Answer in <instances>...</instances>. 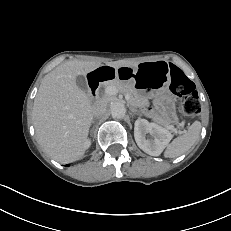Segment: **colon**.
<instances>
[{"label":"colon","instance_id":"obj_1","mask_svg":"<svg viewBox=\"0 0 231 231\" xmlns=\"http://www.w3.org/2000/svg\"><path fill=\"white\" fill-rule=\"evenodd\" d=\"M171 90L183 98L181 110L186 116H196L201 111L196 87L180 70H175L171 80Z\"/></svg>","mask_w":231,"mask_h":231}]
</instances>
